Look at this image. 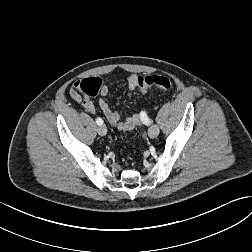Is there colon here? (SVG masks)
<instances>
[{"mask_svg": "<svg viewBox=\"0 0 252 252\" xmlns=\"http://www.w3.org/2000/svg\"><path fill=\"white\" fill-rule=\"evenodd\" d=\"M103 82L98 77L86 78L80 81V89L83 93L89 96H96L102 89ZM137 86L141 91H146L147 88L154 86L162 91H167L171 88L170 80L165 76H138ZM137 132L140 133V126H137Z\"/></svg>", "mask_w": 252, "mask_h": 252, "instance_id": "1", "label": "colon"}]
</instances>
